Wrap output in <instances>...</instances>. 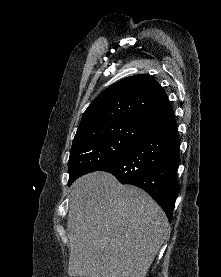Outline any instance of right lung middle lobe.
<instances>
[{"label": "right lung middle lobe", "instance_id": "1", "mask_svg": "<svg viewBox=\"0 0 221 277\" xmlns=\"http://www.w3.org/2000/svg\"><path fill=\"white\" fill-rule=\"evenodd\" d=\"M140 134L139 122L107 124L76 133L68 162L69 183L122 158Z\"/></svg>", "mask_w": 221, "mask_h": 277}]
</instances>
